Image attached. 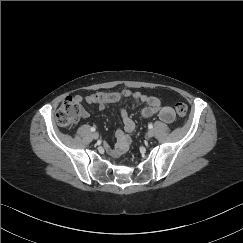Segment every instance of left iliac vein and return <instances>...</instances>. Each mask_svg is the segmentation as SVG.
I'll use <instances>...</instances> for the list:
<instances>
[{
	"instance_id": "4c4485c4",
	"label": "left iliac vein",
	"mask_w": 243,
	"mask_h": 243,
	"mask_svg": "<svg viewBox=\"0 0 243 243\" xmlns=\"http://www.w3.org/2000/svg\"><path fill=\"white\" fill-rule=\"evenodd\" d=\"M153 136H154V132H153L152 130H149V131L147 132V137L151 138V137H153Z\"/></svg>"
}]
</instances>
